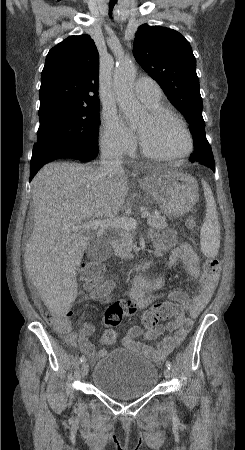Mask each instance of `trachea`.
<instances>
[{"mask_svg":"<svg viewBox=\"0 0 245 450\" xmlns=\"http://www.w3.org/2000/svg\"><path fill=\"white\" fill-rule=\"evenodd\" d=\"M117 3V0H111L110 4H109V11H110V16L112 14V9L114 8L115 4Z\"/></svg>","mask_w":245,"mask_h":450,"instance_id":"obj_1","label":"trachea"}]
</instances>
